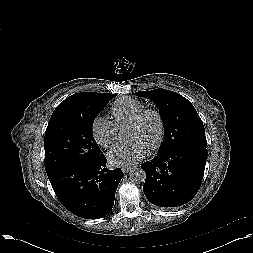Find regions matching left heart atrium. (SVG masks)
Listing matches in <instances>:
<instances>
[{"label": "left heart atrium", "mask_w": 253, "mask_h": 253, "mask_svg": "<svg viewBox=\"0 0 253 253\" xmlns=\"http://www.w3.org/2000/svg\"><path fill=\"white\" fill-rule=\"evenodd\" d=\"M147 153V147L137 139H131L116 146L108 155L114 166H131L141 160Z\"/></svg>", "instance_id": "obj_1"}]
</instances>
